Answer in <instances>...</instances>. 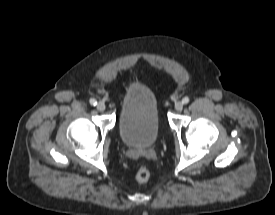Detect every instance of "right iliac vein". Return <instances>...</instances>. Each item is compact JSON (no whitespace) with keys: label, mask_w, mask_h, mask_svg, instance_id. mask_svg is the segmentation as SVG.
I'll return each mask as SVG.
<instances>
[{"label":"right iliac vein","mask_w":275,"mask_h":215,"mask_svg":"<svg viewBox=\"0 0 275 215\" xmlns=\"http://www.w3.org/2000/svg\"><path fill=\"white\" fill-rule=\"evenodd\" d=\"M96 107L99 111H104L105 110V104L103 102H98Z\"/></svg>","instance_id":"1"}]
</instances>
